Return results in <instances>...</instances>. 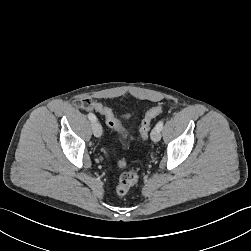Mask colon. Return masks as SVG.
<instances>
[{
	"instance_id": "colon-1",
	"label": "colon",
	"mask_w": 251,
	"mask_h": 251,
	"mask_svg": "<svg viewBox=\"0 0 251 251\" xmlns=\"http://www.w3.org/2000/svg\"><path fill=\"white\" fill-rule=\"evenodd\" d=\"M164 110L163 106H156L148 110L141 122L139 136L137 140L139 141H145L147 140L150 129H151V122L152 120L161 114ZM86 114H91L96 112L97 114L101 115L104 119L107 120V125L110 128H116L119 131H121L125 136H128L126 130L121 126V124L118 122V116L114 113V109L111 106H107L101 101L96 100L89 108L86 109ZM118 167L120 169H123L125 167V162L123 160L118 161ZM139 179V175L137 170H130L128 172L123 173L116 186V192L119 195H125L128 193L130 188L134 186Z\"/></svg>"
}]
</instances>
